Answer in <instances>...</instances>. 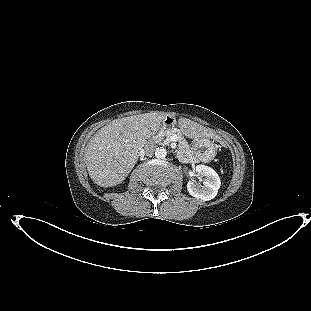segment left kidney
Returning <instances> with one entry per match:
<instances>
[{"instance_id": "1", "label": "left kidney", "mask_w": 311, "mask_h": 311, "mask_svg": "<svg viewBox=\"0 0 311 311\" xmlns=\"http://www.w3.org/2000/svg\"><path fill=\"white\" fill-rule=\"evenodd\" d=\"M195 170L198 174H201L204 177L203 185L194 184L189 181L187 183L189 194L203 201H209L215 198L221 186V181L216 171L206 165H197Z\"/></svg>"}]
</instances>
